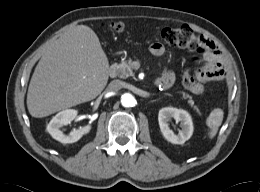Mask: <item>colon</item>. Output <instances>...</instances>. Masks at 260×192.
Listing matches in <instances>:
<instances>
[{
	"label": "colon",
	"mask_w": 260,
	"mask_h": 192,
	"mask_svg": "<svg viewBox=\"0 0 260 192\" xmlns=\"http://www.w3.org/2000/svg\"><path fill=\"white\" fill-rule=\"evenodd\" d=\"M109 28L116 32L122 33L124 26L122 23L113 22L109 24ZM161 38L169 45L187 48L195 53H205L208 44L201 36L196 35L189 27L165 28L161 31ZM183 85L188 90L196 89V81L194 76L185 72L183 74Z\"/></svg>",
	"instance_id": "1"
}]
</instances>
